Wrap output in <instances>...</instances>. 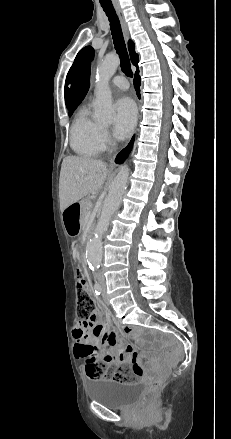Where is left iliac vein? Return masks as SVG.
I'll return each mask as SVG.
<instances>
[{
    "label": "left iliac vein",
    "mask_w": 231,
    "mask_h": 439,
    "mask_svg": "<svg viewBox=\"0 0 231 439\" xmlns=\"http://www.w3.org/2000/svg\"><path fill=\"white\" fill-rule=\"evenodd\" d=\"M101 285H102V288H103V298H104V302H105L106 304H108V298H107V296H106V283H105V280H103V281L101 282Z\"/></svg>",
    "instance_id": "4c4485c4"
}]
</instances>
